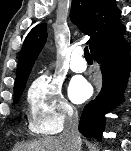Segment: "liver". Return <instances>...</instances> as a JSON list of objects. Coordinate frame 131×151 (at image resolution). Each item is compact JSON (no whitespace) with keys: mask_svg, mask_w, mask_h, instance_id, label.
<instances>
[{"mask_svg":"<svg viewBox=\"0 0 131 151\" xmlns=\"http://www.w3.org/2000/svg\"><path fill=\"white\" fill-rule=\"evenodd\" d=\"M72 145L61 137H46L14 147L13 151H73Z\"/></svg>","mask_w":131,"mask_h":151,"instance_id":"liver-1","label":"liver"}]
</instances>
